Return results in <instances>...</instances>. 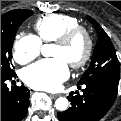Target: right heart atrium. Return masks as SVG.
<instances>
[{
  "instance_id": "right-heart-atrium-1",
  "label": "right heart atrium",
  "mask_w": 121,
  "mask_h": 121,
  "mask_svg": "<svg viewBox=\"0 0 121 121\" xmlns=\"http://www.w3.org/2000/svg\"><path fill=\"white\" fill-rule=\"evenodd\" d=\"M42 43L32 34L20 35L13 44V57L20 64L36 59L41 53Z\"/></svg>"
}]
</instances>
